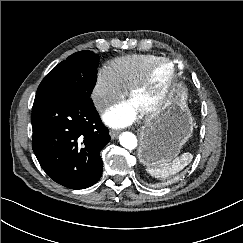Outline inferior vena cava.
<instances>
[{"label": "inferior vena cava", "mask_w": 243, "mask_h": 243, "mask_svg": "<svg viewBox=\"0 0 243 243\" xmlns=\"http://www.w3.org/2000/svg\"><path fill=\"white\" fill-rule=\"evenodd\" d=\"M95 104L98 109H104L109 105V101L103 98H97Z\"/></svg>", "instance_id": "602c4592"}]
</instances>
